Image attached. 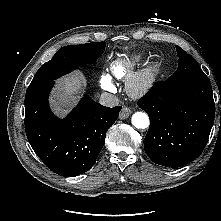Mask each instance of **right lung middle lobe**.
I'll list each match as a JSON object with an SVG mask.
<instances>
[{
  "label": "right lung middle lobe",
  "mask_w": 221,
  "mask_h": 221,
  "mask_svg": "<svg viewBox=\"0 0 221 221\" xmlns=\"http://www.w3.org/2000/svg\"><path fill=\"white\" fill-rule=\"evenodd\" d=\"M105 45V42H96L62 47L39 68L30 86L53 81L79 66L95 62L103 54Z\"/></svg>",
  "instance_id": "obj_1"
}]
</instances>
